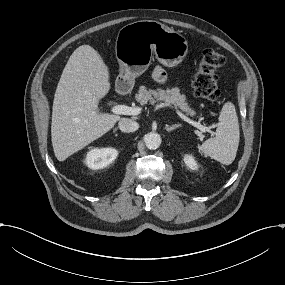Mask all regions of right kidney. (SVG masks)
<instances>
[{
	"instance_id": "ca27d5eb",
	"label": "right kidney",
	"mask_w": 285,
	"mask_h": 285,
	"mask_svg": "<svg viewBox=\"0 0 285 285\" xmlns=\"http://www.w3.org/2000/svg\"><path fill=\"white\" fill-rule=\"evenodd\" d=\"M118 152L114 149H94L87 154L86 164L90 169L105 168L117 158Z\"/></svg>"
}]
</instances>
